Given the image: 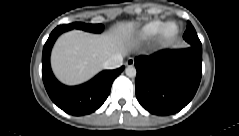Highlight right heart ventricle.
<instances>
[{
    "mask_svg": "<svg viewBox=\"0 0 239 136\" xmlns=\"http://www.w3.org/2000/svg\"><path fill=\"white\" fill-rule=\"evenodd\" d=\"M164 23L161 21H152L149 22L148 24H146L143 28V34L146 37H153L155 35H157L162 27H163Z\"/></svg>",
    "mask_w": 239,
    "mask_h": 136,
    "instance_id": "e07e8e85",
    "label": "right heart ventricle"
}]
</instances>
